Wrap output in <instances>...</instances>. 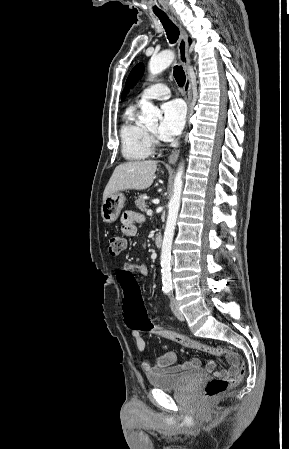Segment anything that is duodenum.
<instances>
[{
	"mask_svg": "<svg viewBox=\"0 0 289 449\" xmlns=\"http://www.w3.org/2000/svg\"><path fill=\"white\" fill-rule=\"evenodd\" d=\"M154 242H155V245L158 247V248H161L162 246H163V238H162V236L161 235H156L155 236V238H154Z\"/></svg>",
	"mask_w": 289,
	"mask_h": 449,
	"instance_id": "obj_1",
	"label": "duodenum"
}]
</instances>
